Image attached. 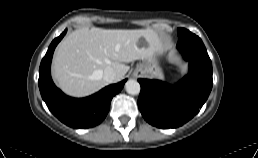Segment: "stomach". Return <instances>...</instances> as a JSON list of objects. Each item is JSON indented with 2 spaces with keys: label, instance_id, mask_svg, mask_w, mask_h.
Wrapping results in <instances>:
<instances>
[{
  "label": "stomach",
  "instance_id": "0dacf381",
  "mask_svg": "<svg viewBox=\"0 0 258 158\" xmlns=\"http://www.w3.org/2000/svg\"><path fill=\"white\" fill-rule=\"evenodd\" d=\"M133 74L135 76H147L157 79H163V71L158 64L156 59L153 60H144L142 63H139L134 70Z\"/></svg>",
  "mask_w": 258,
  "mask_h": 158
}]
</instances>
